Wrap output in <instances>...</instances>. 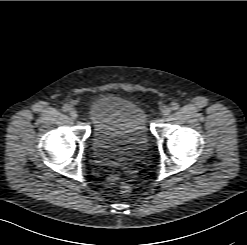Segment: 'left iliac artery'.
I'll list each match as a JSON object with an SVG mask.
<instances>
[{"label":"left iliac artery","instance_id":"obj_1","mask_svg":"<svg viewBox=\"0 0 247 245\" xmlns=\"http://www.w3.org/2000/svg\"><path fill=\"white\" fill-rule=\"evenodd\" d=\"M179 109V104L174 102L172 103V110H178Z\"/></svg>","mask_w":247,"mask_h":245}]
</instances>
